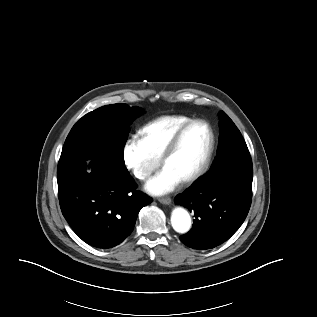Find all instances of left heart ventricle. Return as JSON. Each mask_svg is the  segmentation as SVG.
<instances>
[{"label":"left heart ventricle","instance_id":"1","mask_svg":"<svg viewBox=\"0 0 317 317\" xmlns=\"http://www.w3.org/2000/svg\"><path fill=\"white\" fill-rule=\"evenodd\" d=\"M209 145V132L203 124L192 126L182 138L176 153L165 167L183 180L190 176L202 162Z\"/></svg>","mask_w":317,"mask_h":317}]
</instances>
